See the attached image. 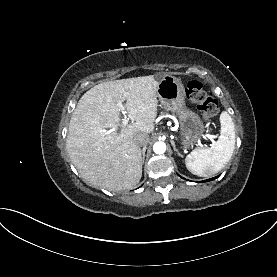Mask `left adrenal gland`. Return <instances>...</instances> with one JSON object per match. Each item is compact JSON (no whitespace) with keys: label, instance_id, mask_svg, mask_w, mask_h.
Here are the masks:
<instances>
[{"label":"left adrenal gland","instance_id":"1","mask_svg":"<svg viewBox=\"0 0 277 277\" xmlns=\"http://www.w3.org/2000/svg\"><path fill=\"white\" fill-rule=\"evenodd\" d=\"M171 144H172V146H173L174 151H175L180 157H182V155L180 154V152L176 149V146H175L174 141H171Z\"/></svg>","mask_w":277,"mask_h":277}]
</instances>
